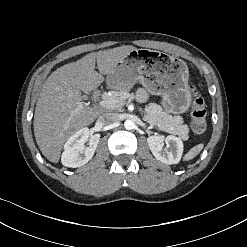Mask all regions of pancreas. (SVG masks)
<instances>
[{"label":"pancreas","instance_id":"1","mask_svg":"<svg viewBox=\"0 0 247 247\" xmlns=\"http://www.w3.org/2000/svg\"><path fill=\"white\" fill-rule=\"evenodd\" d=\"M105 99L120 101L122 105L116 108V110L120 111L126 100L131 101L134 99V94H130L125 90L111 91L110 94L105 95ZM143 119L160 130L178 135L183 140L188 139L189 128L183 124V119L180 116H172L164 112L162 107L155 103H150L146 106Z\"/></svg>","mask_w":247,"mask_h":247}]
</instances>
